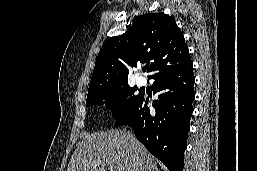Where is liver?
I'll use <instances>...</instances> for the list:
<instances>
[{
  "instance_id": "1",
  "label": "liver",
  "mask_w": 257,
  "mask_h": 171,
  "mask_svg": "<svg viewBox=\"0 0 257 171\" xmlns=\"http://www.w3.org/2000/svg\"><path fill=\"white\" fill-rule=\"evenodd\" d=\"M136 160L140 171H154L156 162L146 148L123 130L84 134L67 171H132Z\"/></svg>"
}]
</instances>
